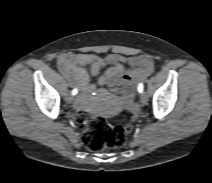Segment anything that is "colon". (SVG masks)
<instances>
[{
    "label": "colon",
    "mask_w": 212,
    "mask_h": 183,
    "mask_svg": "<svg viewBox=\"0 0 212 183\" xmlns=\"http://www.w3.org/2000/svg\"><path fill=\"white\" fill-rule=\"evenodd\" d=\"M77 120L86 127L83 142L92 151L124 146L133 127L128 121L123 125L113 126L100 116L79 114Z\"/></svg>",
    "instance_id": "obj_1"
}]
</instances>
